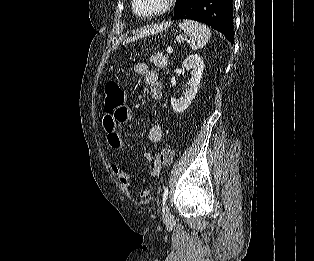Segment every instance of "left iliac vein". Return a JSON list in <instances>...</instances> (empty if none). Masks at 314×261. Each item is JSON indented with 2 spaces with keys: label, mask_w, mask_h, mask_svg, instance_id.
I'll use <instances>...</instances> for the list:
<instances>
[{
  "label": "left iliac vein",
  "mask_w": 314,
  "mask_h": 261,
  "mask_svg": "<svg viewBox=\"0 0 314 261\" xmlns=\"http://www.w3.org/2000/svg\"><path fill=\"white\" fill-rule=\"evenodd\" d=\"M165 217H166V218H169V217H170V212H169V209H168L167 206H166V208H165Z\"/></svg>",
  "instance_id": "1"
}]
</instances>
